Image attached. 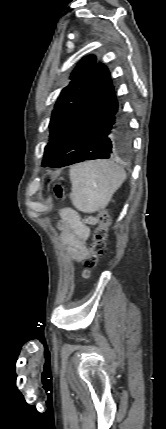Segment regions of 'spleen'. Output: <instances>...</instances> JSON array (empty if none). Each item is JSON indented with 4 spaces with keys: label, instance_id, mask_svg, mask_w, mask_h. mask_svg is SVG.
<instances>
[{
    "label": "spleen",
    "instance_id": "1",
    "mask_svg": "<svg viewBox=\"0 0 166 429\" xmlns=\"http://www.w3.org/2000/svg\"><path fill=\"white\" fill-rule=\"evenodd\" d=\"M125 179L124 168L112 161L97 160L76 164L70 168L72 204L85 213L102 210L107 207Z\"/></svg>",
    "mask_w": 166,
    "mask_h": 429
}]
</instances>
